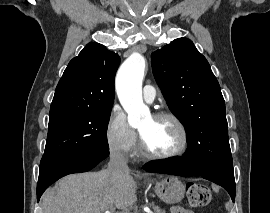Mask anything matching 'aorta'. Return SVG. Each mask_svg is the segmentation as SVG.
I'll use <instances>...</instances> for the list:
<instances>
[{"label":"aorta","instance_id":"1","mask_svg":"<svg viewBox=\"0 0 270 213\" xmlns=\"http://www.w3.org/2000/svg\"><path fill=\"white\" fill-rule=\"evenodd\" d=\"M146 61L140 54H133L121 65L116 77V90L130 126H138L150 116L149 108L143 103L142 81Z\"/></svg>","mask_w":270,"mask_h":213}]
</instances>
